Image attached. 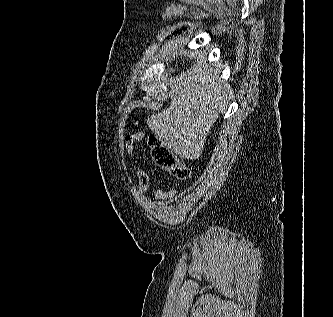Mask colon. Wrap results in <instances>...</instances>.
<instances>
[{
	"instance_id": "1",
	"label": "colon",
	"mask_w": 333,
	"mask_h": 317,
	"mask_svg": "<svg viewBox=\"0 0 333 317\" xmlns=\"http://www.w3.org/2000/svg\"><path fill=\"white\" fill-rule=\"evenodd\" d=\"M151 158L154 163L179 180H187L191 176L189 167L174 155L156 136L148 138Z\"/></svg>"
}]
</instances>
